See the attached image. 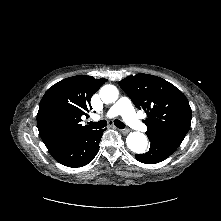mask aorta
<instances>
[{"label": "aorta", "mask_w": 221, "mask_h": 221, "mask_svg": "<svg viewBox=\"0 0 221 221\" xmlns=\"http://www.w3.org/2000/svg\"><path fill=\"white\" fill-rule=\"evenodd\" d=\"M118 89L114 85H104L100 89V97L105 103H114L118 98ZM128 148L137 154H143L147 148V137L140 132H131L126 138Z\"/></svg>", "instance_id": "obj_1"}]
</instances>
